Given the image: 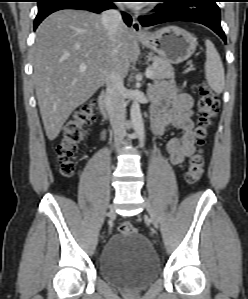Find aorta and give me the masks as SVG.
<instances>
[{
	"label": "aorta",
	"mask_w": 248,
	"mask_h": 299,
	"mask_svg": "<svg viewBox=\"0 0 248 299\" xmlns=\"http://www.w3.org/2000/svg\"><path fill=\"white\" fill-rule=\"evenodd\" d=\"M130 118L132 126L138 135L140 146L144 145L145 131L144 122L141 115L140 105L137 101H133L130 109Z\"/></svg>",
	"instance_id": "762f6f07"
}]
</instances>
